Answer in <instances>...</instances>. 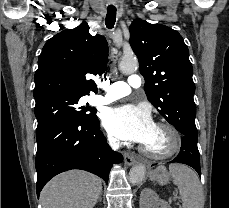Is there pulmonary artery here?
<instances>
[{
	"label": "pulmonary artery",
	"instance_id": "1",
	"mask_svg": "<svg viewBox=\"0 0 229 208\" xmlns=\"http://www.w3.org/2000/svg\"><path fill=\"white\" fill-rule=\"evenodd\" d=\"M142 85V78L131 72L126 81H117L107 88L106 96H93L92 103H107L117 100L131 93L132 88H139Z\"/></svg>",
	"mask_w": 229,
	"mask_h": 208
}]
</instances>
